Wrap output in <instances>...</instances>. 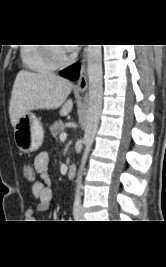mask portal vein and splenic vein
Returning <instances> with one entry per match:
<instances>
[{
	"instance_id": "obj_1",
	"label": "portal vein and splenic vein",
	"mask_w": 166,
	"mask_h": 267,
	"mask_svg": "<svg viewBox=\"0 0 166 267\" xmlns=\"http://www.w3.org/2000/svg\"><path fill=\"white\" fill-rule=\"evenodd\" d=\"M59 138H60V141H65L66 138H67V134L62 132L60 135H59Z\"/></svg>"
}]
</instances>
